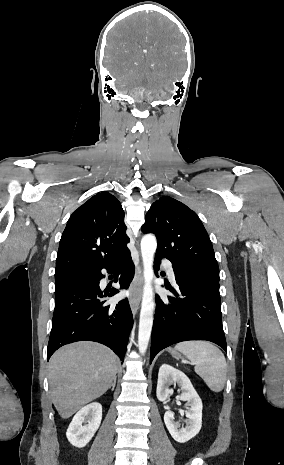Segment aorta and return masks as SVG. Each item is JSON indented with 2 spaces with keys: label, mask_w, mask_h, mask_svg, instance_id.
<instances>
[{
  "label": "aorta",
  "mask_w": 284,
  "mask_h": 465,
  "mask_svg": "<svg viewBox=\"0 0 284 465\" xmlns=\"http://www.w3.org/2000/svg\"><path fill=\"white\" fill-rule=\"evenodd\" d=\"M157 248V241L154 235L147 234L141 240V255L143 260L144 289L142 296L139 331H138V348L139 352L144 355L151 336L154 313V299L152 280L153 257Z\"/></svg>",
  "instance_id": "aorta-1"
}]
</instances>
